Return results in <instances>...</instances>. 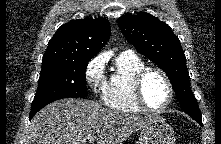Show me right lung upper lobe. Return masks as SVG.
<instances>
[{
  "mask_svg": "<svg viewBox=\"0 0 221 144\" xmlns=\"http://www.w3.org/2000/svg\"><path fill=\"white\" fill-rule=\"evenodd\" d=\"M107 19L85 18L63 24L49 41L43 61H89L110 38Z\"/></svg>",
  "mask_w": 221,
  "mask_h": 144,
  "instance_id": "cb5924a9",
  "label": "right lung upper lobe"
}]
</instances>
